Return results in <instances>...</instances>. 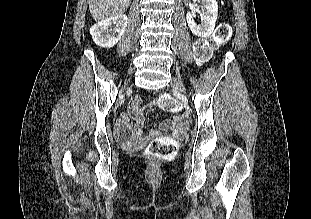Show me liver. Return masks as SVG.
Returning <instances> with one entry per match:
<instances>
[{"label":"liver","instance_id":"6515ba94","mask_svg":"<svg viewBox=\"0 0 311 219\" xmlns=\"http://www.w3.org/2000/svg\"><path fill=\"white\" fill-rule=\"evenodd\" d=\"M131 0H88L89 10L96 22L122 15Z\"/></svg>","mask_w":311,"mask_h":219}]
</instances>
